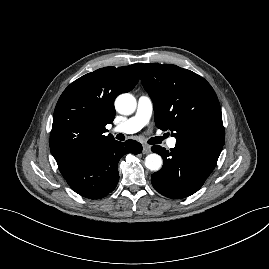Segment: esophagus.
<instances>
[{"instance_id": "1", "label": "esophagus", "mask_w": 269, "mask_h": 269, "mask_svg": "<svg viewBox=\"0 0 269 269\" xmlns=\"http://www.w3.org/2000/svg\"><path fill=\"white\" fill-rule=\"evenodd\" d=\"M151 152L149 145H143V154H149Z\"/></svg>"}]
</instances>
